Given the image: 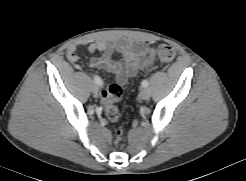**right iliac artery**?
Listing matches in <instances>:
<instances>
[{
    "label": "right iliac artery",
    "instance_id": "right-iliac-artery-1",
    "mask_svg": "<svg viewBox=\"0 0 246 181\" xmlns=\"http://www.w3.org/2000/svg\"><path fill=\"white\" fill-rule=\"evenodd\" d=\"M94 81H95V83L97 84V85H102V80H101V78L99 77V76H97V75H95L94 76Z\"/></svg>",
    "mask_w": 246,
    "mask_h": 181
}]
</instances>
